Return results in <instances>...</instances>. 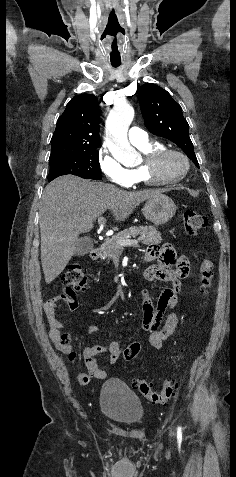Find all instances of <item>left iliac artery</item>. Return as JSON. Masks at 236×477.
I'll list each match as a JSON object with an SVG mask.
<instances>
[{
	"instance_id": "obj_1",
	"label": "left iliac artery",
	"mask_w": 236,
	"mask_h": 477,
	"mask_svg": "<svg viewBox=\"0 0 236 477\" xmlns=\"http://www.w3.org/2000/svg\"><path fill=\"white\" fill-rule=\"evenodd\" d=\"M177 439H178V442L181 443V441H182V428L180 426L177 429Z\"/></svg>"
}]
</instances>
